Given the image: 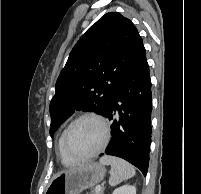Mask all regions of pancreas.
<instances>
[{"instance_id": "cf45deb5", "label": "pancreas", "mask_w": 201, "mask_h": 194, "mask_svg": "<svg viewBox=\"0 0 201 194\" xmlns=\"http://www.w3.org/2000/svg\"><path fill=\"white\" fill-rule=\"evenodd\" d=\"M90 194H104V188H101L100 191H92Z\"/></svg>"}]
</instances>
